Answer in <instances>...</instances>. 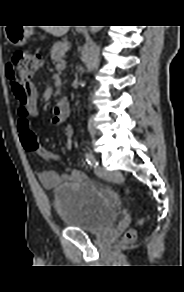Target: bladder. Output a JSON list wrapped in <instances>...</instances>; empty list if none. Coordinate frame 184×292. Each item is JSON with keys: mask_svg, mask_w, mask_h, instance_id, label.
Masks as SVG:
<instances>
[{"mask_svg": "<svg viewBox=\"0 0 184 292\" xmlns=\"http://www.w3.org/2000/svg\"><path fill=\"white\" fill-rule=\"evenodd\" d=\"M53 207L65 227L101 233L116 221L120 198L88 182L66 184L55 190Z\"/></svg>", "mask_w": 184, "mask_h": 292, "instance_id": "bladder-1", "label": "bladder"}]
</instances>
